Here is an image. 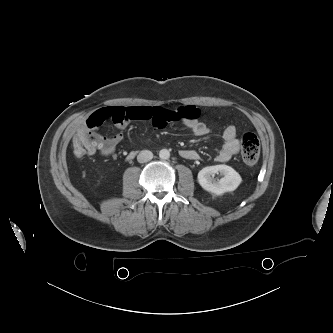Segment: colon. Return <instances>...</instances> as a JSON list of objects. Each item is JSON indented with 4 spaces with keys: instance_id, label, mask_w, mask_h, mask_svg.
I'll return each instance as SVG.
<instances>
[{
    "instance_id": "obj_1",
    "label": "colon",
    "mask_w": 333,
    "mask_h": 333,
    "mask_svg": "<svg viewBox=\"0 0 333 333\" xmlns=\"http://www.w3.org/2000/svg\"><path fill=\"white\" fill-rule=\"evenodd\" d=\"M73 151L77 157L85 155V147L83 142L75 137L73 139ZM241 156L245 163L249 165L255 164L260 156V141L256 134L247 132L241 140Z\"/></svg>"
}]
</instances>
